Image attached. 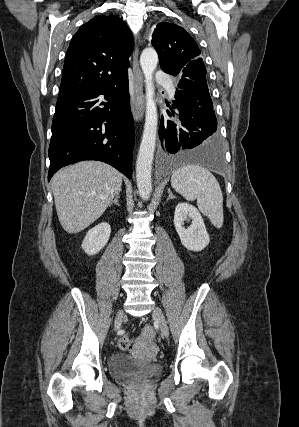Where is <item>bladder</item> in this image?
<instances>
[{
    "label": "bladder",
    "mask_w": 299,
    "mask_h": 427,
    "mask_svg": "<svg viewBox=\"0 0 299 427\" xmlns=\"http://www.w3.org/2000/svg\"><path fill=\"white\" fill-rule=\"evenodd\" d=\"M163 369L164 365L161 362L144 363L125 353L114 354L109 359V373L118 379L131 378L137 375L154 377L160 375Z\"/></svg>",
    "instance_id": "31cf9c89"
}]
</instances>
